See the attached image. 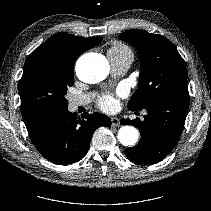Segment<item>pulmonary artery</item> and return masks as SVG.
Masks as SVG:
<instances>
[{"label":"pulmonary artery","instance_id":"pulmonary-artery-1","mask_svg":"<svg viewBox=\"0 0 211 211\" xmlns=\"http://www.w3.org/2000/svg\"><path fill=\"white\" fill-rule=\"evenodd\" d=\"M108 59L110 61L112 72L115 75H122L124 74L130 67L133 58L130 56L120 57L114 56L112 54H107ZM93 94L86 93L78 96H73L69 98V105L71 109H75L78 106L86 105L90 102Z\"/></svg>","mask_w":211,"mask_h":211}]
</instances>
